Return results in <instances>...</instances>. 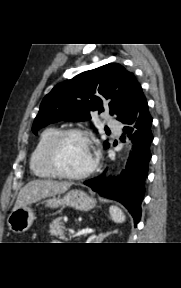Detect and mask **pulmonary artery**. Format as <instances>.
<instances>
[{
  "mask_svg": "<svg viewBox=\"0 0 181 288\" xmlns=\"http://www.w3.org/2000/svg\"><path fill=\"white\" fill-rule=\"evenodd\" d=\"M107 123H108V126L112 128L113 130L118 131L120 128L118 121L112 117H107Z\"/></svg>",
  "mask_w": 181,
  "mask_h": 288,
  "instance_id": "e3ab8cb5",
  "label": "pulmonary artery"
}]
</instances>
